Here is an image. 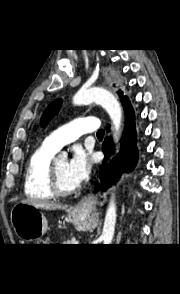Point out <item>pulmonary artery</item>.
Wrapping results in <instances>:
<instances>
[{
	"mask_svg": "<svg viewBox=\"0 0 180 294\" xmlns=\"http://www.w3.org/2000/svg\"><path fill=\"white\" fill-rule=\"evenodd\" d=\"M98 126L99 122L96 117H81L61 126L52 132L45 139L44 143L58 151L64 145L77 140L84 133L95 131Z\"/></svg>",
	"mask_w": 180,
	"mask_h": 294,
	"instance_id": "e3ab8cb5",
	"label": "pulmonary artery"
}]
</instances>
